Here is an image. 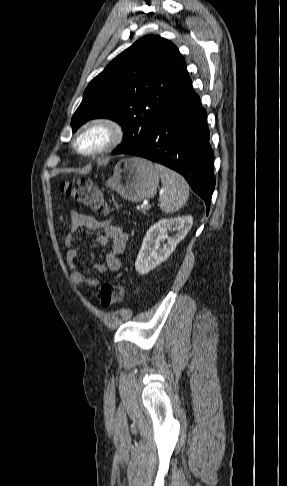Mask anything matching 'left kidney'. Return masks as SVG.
Instances as JSON below:
<instances>
[{
  "mask_svg": "<svg viewBox=\"0 0 287 486\" xmlns=\"http://www.w3.org/2000/svg\"><path fill=\"white\" fill-rule=\"evenodd\" d=\"M192 225L193 218L190 215L161 219L153 224L143 239L135 262L136 271L141 275L147 274L168 259L177 244L186 237ZM172 229L177 233L170 237L168 231ZM165 240L167 243L161 247V242Z\"/></svg>",
  "mask_w": 287,
  "mask_h": 486,
  "instance_id": "5707ae66",
  "label": "left kidney"
}]
</instances>
